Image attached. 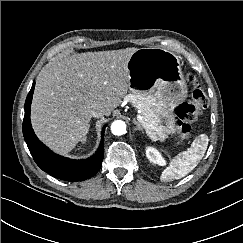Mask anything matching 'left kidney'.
I'll use <instances>...</instances> for the list:
<instances>
[{"instance_id":"left-kidney-1","label":"left kidney","mask_w":243,"mask_h":243,"mask_svg":"<svg viewBox=\"0 0 243 243\" xmlns=\"http://www.w3.org/2000/svg\"><path fill=\"white\" fill-rule=\"evenodd\" d=\"M146 156L151 162H153L155 164H158L161 166L166 164L165 159L162 157V155L159 153V151L156 150L155 148L148 147L146 149Z\"/></svg>"}]
</instances>
